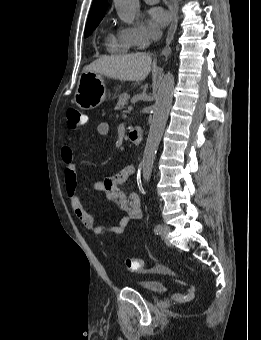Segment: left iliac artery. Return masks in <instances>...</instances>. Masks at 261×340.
Masks as SVG:
<instances>
[{"mask_svg": "<svg viewBox=\"0 0 261 340\" xmlns=\"http://www.w3.org/2000/svg\"><path fill=\"white\" fill-rule=\"evenodd\" d=\"M161 228H162V226H161L160 224H157V225L154 227V232L158 234V233L161 231Z\"/></svg>", "mask_w": 261, "mask_h": 340, "instance_id": "1", "label": "left iliac artery"}]
</instances>
